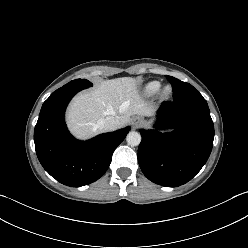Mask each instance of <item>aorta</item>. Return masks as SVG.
<instances>
[{"label":"aorta","instance_id":"aorta-1","mask_svg":"<svg viewBox=\"0 0 248 248\" xmlns=\"http://www.w3.org/2000/svg\"><path fill=\"white\" fill-rule=\"evenodd\" d=\"M127 143L131 146H137L141 142V135L138 132H129L126 137Z\"/></svg>","mask_w":248,"mask_h":248}]
</instances>
